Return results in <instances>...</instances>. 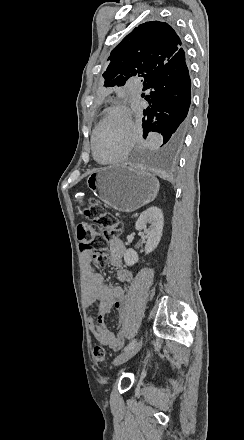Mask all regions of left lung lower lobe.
Masks as SVG:
<instances>
[{
	"mask_svg": "<svg viewBox=\"0 0 244 440\" xmlns=\"http://www.w3.org/2000/svg\"><path fill=\"white\" fill-rule=\"evenodd\" d=\"M149 88L154 90L150 95L142 94L149 103L142 119L143 137L152 131L161 133L163 143L158 152L173 153L183 145L191 125V81L185 59L161 68L143 90Z\"/></svg>",
	"mask_w": 244,
	"mask_h": 440,
	"instance_id": "left-lung-lower-lobe-1",
	"label": "left lung lower lobe"
}]
</instances>
